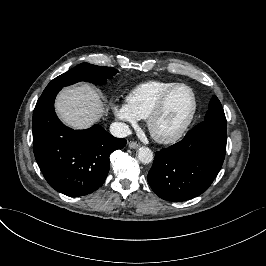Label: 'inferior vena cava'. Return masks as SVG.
Instances as JSON below:
<instances>
[{"label":"inferior vena cava","mask_w":266,"mask_h":266,"mask_svg":"<svg viewBox=\"0 0 266 266\" xmlns=\"http://www.w3.org/2000/svg\"><path fill=\"white\" fill-rule=\"evenodd\" d=\"M110 132L113 136L123 138L132 134L128 125L120 122H114L110 126Z\"/></svg>","instance_id":"inferior-vena-cava-1"}]
</instances>
